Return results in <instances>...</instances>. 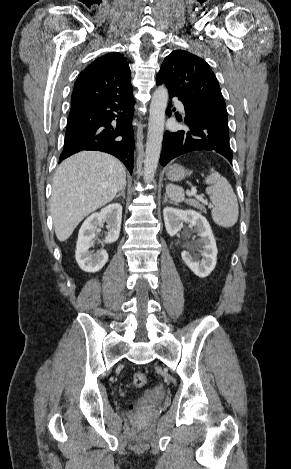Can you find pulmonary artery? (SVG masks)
Returning a JSON list of instances; mask_svg holds the SVG:
<instances>
[{"label":"pulmonary artery","mask_w":291,"mask_h":469,"mask_svg":"<svg viewBox=\"0 0 291 469\" xmlns=\"http://www.w3.org/2000/svg\"><path fill=\"white\" fill-rule=\"evenodd\" d=\"M175 104L181 111H184V105L182 104L181 101L176 100Z\"/></svg>","instance_id":"obj_1"}]
</instances>
